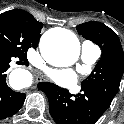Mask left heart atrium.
Segmentation results:
<instances>
[{
  "label": "left heart atrium",
  "mask_w": 124,
  "mask_h": 124,
  "mask_svg": "<svg viewBox=\"0 0 124 124\" xmlns=\"http://www.w3.org/2000/svg\"><path fill=\"white\" fill-rule=\"evenodd\" d=\"M49 78L61 87H71L78 79L77 74L70 69H54L48 72Z\"/></svg>",
  "instance_id": "left-heart-atrium-1"
}]
</instances>
